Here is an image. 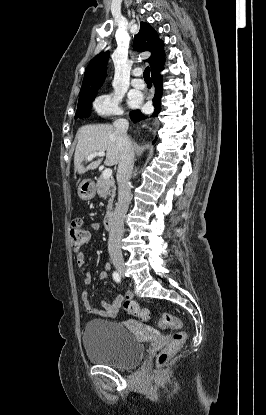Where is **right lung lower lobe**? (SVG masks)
Instances as JSON below:
<instances>
[{
    "instance_id": "right-lung-lower-lobe-1",
    "label": "right lung lower lobe",
    "mask_w": 266,
    "mask_h": 415,
    "mask_svg": "<svg viewBox=\"0 0 266 415\" xmlns=\"http://www.w3.org/2000/svg\"><path fill=\"white\" fill-rule=\"evenodd\" d=\"M161 70H159V71L155 72L154 74H152V81H153V84L155 86V91H156L155 96L153 98V101H154V106L156 107V109L150 117H157L158 113L161 110V108H160V98L162 96V91H163V89H162V80L163 79H162V76L160 74ZM130 117H131V120L134 123H137L141 120H145L146 118H148L145 115H143L139 110L132 111L130 113ZM155 140H156V138H155Z\"/></svg>"
}]
</instances>
